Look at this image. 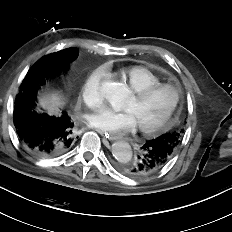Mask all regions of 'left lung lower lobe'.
Instances as JSON below:
<instances>
[{"label": "left lung lower lobe", "mask_w": 232, "mask_h": 232, "mask_svg": "<svg viewBox=\"0 0 232 232\" xmlns=\"http://www.w3.org/2000/svg\"><path fill=\"white\" fill-rule=\"evenodd\" d=\"M172 156L170 148L155 139L149 140L140 148L135 162L121 169L130 177L149 176L162 169Z\"/></svg>", "instance_id": "0a47b994"}]
</instances>
